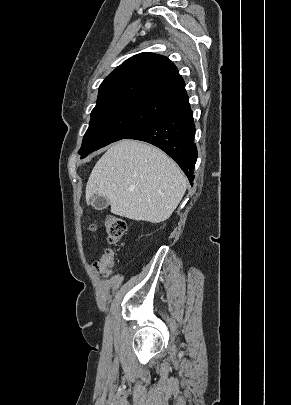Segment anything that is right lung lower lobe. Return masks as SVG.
<instances>
[{
    "label": "right lung lower lobe",
    "mask_w": 291,
    "mask_h": 405,
    "mask_svg": "<svg viewBox=\"0 0 291 405\" xmlns=\"http://www.w3.org/2000/svg\"><path fill=\"white\" fill-rule=\"evenodd\" d=\"M195 125L187 93L173 101L152 121L128 135L157 146L173 158L187 175L194 179V167L198 157L194 143Z\"/></svg>",
    "instance_id": "98d812e1"
}]
</instances>
